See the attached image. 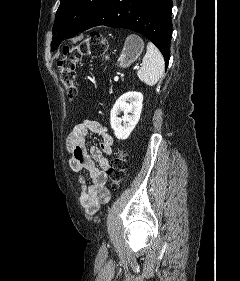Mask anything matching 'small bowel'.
Listing matches in <instances>:
<instances>
[{"label": "small bowel", "mask_w": 240, "mask_h": 281, "mask_svg": "<svg viewBox=\"0 0 240 281\" xmlns=\"http://www.w3.org/2000/svg\"><path fill=\"white\" fill-rule=\"evenodd\" d=\"M93 133L101 138L99 146L86 147V137ZM113 138L108 129L98 121L86 119L77 124L67 138V149L70 154L69 167L80 173L88 171L91 182L79 174V200L89 215L109 203L110 192L106 187L107 171L110 163L106 155L113 152Z\"/></svg>", "instance_id": "c3829d8e"}]
</instances>
